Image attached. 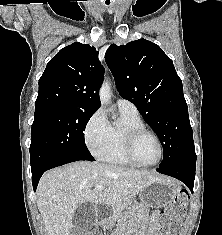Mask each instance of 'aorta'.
Returning a JSON list of instances; mask_svg holds the SVG:
<instances>
[{
    "label": "aorta",
    "instance_id": "762f6f07",
    "mask_svg": "<svg viewBox=\"0 0 222 235\" xmlns=\"http://www.w3.org/2000/svg\"><path fill=\"white\" fill-rule=\"evenodd\" d=\"M99 97L102 105H107L112 97L110 83L108 81H104L99 92Z\"/></svg>",
    "mask_w": 222,
    "mask_h": 235
}]
</instances>
